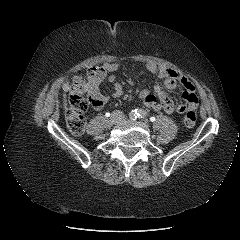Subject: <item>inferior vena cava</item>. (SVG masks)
<instances>
[{"label":"inferior vena cava","instance_id":"602c4592","mask_svg":"<svg viewBox=\"0 0 240 240\" xmlns=\"http://www.w3.org/2000/svg\"><path fill=\"white\" fill-rule=\"evenodd\" d=\"M113 119L116 123H120L125 120V115L121 111H115L113 113Z\"/></svg>","mask_w":240,"mask_h":240}]
</instances>
